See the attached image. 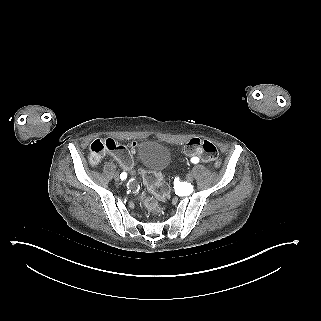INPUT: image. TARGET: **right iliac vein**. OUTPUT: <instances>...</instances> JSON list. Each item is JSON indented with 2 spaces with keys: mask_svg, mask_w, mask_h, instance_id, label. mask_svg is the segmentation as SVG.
I'll return each instance as SVG.
<instances>
[{
  "mask_svg": "<svg viewBox=\"0 0 321 321\" xmlns=\"http://www.w3.org/2000/svg\"><path fill=\"white\" fill-rule=\"evenodd\" d=\"M114 179L116 181H120V176H119V174L117 172L114 173Z\"/></svg>",
  "mask_w": 321,
  "mask_h": 321,
  "instance_id": "1",
  "label": "right iliac vein"
}]
</instances>
